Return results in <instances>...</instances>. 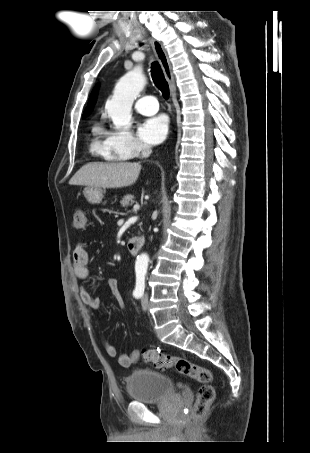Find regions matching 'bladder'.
Here are the masks:
<instances>
[{
    "instance_id": "1",
    "label": "bladder",
    "mask_w": 310,
    "mask_h": 453,
    "mask_svg": "<svg viewBox=\"0 0 310 453\" xmlns=\"http://www.w3.org/2000/svg\"><path fill=\"white\" fill-rule=\"evenodd\" d=\"M126 389L131 400L139 403L160 402L174 394L169 376L148 369L132 371L126 379Z\"/></svg>"
}]
</instances>
